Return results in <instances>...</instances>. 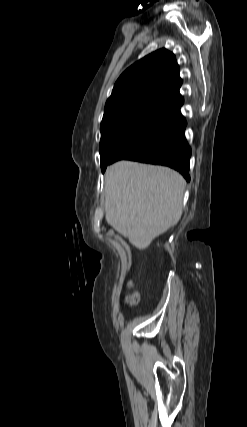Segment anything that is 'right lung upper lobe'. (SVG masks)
<instances>
[{
	"label": "right lung upper lobe",
	"mask_w": 247,
	"mask_h": 427,
	"mask_svg": "<svg viewBox=\"0 0 247 427\" xmlns=\"http://www.w3.org/2000/svg\"><path fill=\"white\" fill-rule=\"evenodd\" d=\"M179 66L173 53L157 50L126 69L116 81L104 115L126 109L154 111L180 95Z\"/></svg>",
	"instance_id": "cb5924a9"
}]
</instances>
